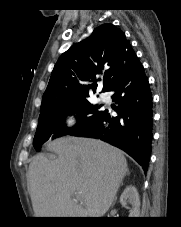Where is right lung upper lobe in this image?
<instances>
[{"mask_svg": "<svg viewBox=\"0 0 181 227\" xmlns=\"http://www.w3.org/2000/svg\"><path fill=\"white\" fill-rule=\"evenodd\" d=\"M133 56L136 54L120 29L113 24L97 27L89 38L72 45L59 57L40 110L88 97L97 89L98 74L104 73L102 91H108ZM88 81L94 83L85 84Z\"/></svg>", "mask_w": 181, "mask_h": 227, "instance_id": "right-lung-upper-lobe-1", "label": "right lung upper lobe"}]
</instances>
